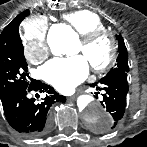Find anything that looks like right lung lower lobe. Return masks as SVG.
Segmentation results:
<instances>
[{"instance_id":"right-lung-lower-lobe-1","label":"right lung lower lobe","mask_w":147,"mask_h":147,"mask_svg":"<svg viewBox=\"0 0 147 147\" xmlns=\"http://www.w3.org/2000/svg\"><path fill=\"white\" fill-rule=\"evenodd\" d=\"M46 92L40 102L30 98V91ZM4 114L10 126L27 137H39L49 129L48 111L55 101L65 102L66 97L59 95L51 86L34 81L24 89H18L0 96Z\"/></svg>"}]
</instances>
